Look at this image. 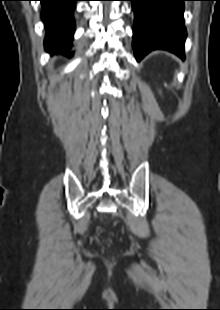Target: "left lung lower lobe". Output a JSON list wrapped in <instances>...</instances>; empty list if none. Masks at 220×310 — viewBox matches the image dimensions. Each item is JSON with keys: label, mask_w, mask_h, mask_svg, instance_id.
Listing matches in <instances>:
<instances>
[{"label": "left lung lower lobe", "mask_w": 220, "mask_h": 310, "mask_svg": "<svg viewBox=\"0 0 220 310\" xmlns=\"http://www.w3.org/2000/svg\"><path fill=\"white\" fill-rule=\"evenodd\" d=\"M134 11L133 49L137 61L152 50L170 51L185 58L184 1L128 0Z\"/></svg>", "instance_id": "left-lung-lower-lobe-1"}]
</instances>
